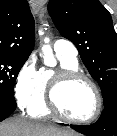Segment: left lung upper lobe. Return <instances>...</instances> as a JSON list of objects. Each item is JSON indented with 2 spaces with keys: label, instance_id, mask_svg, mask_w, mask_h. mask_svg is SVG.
Wrapping results in <instances>:
<instances>
[{
  "label": "left lung upper lobe",
  "instance_id": "obj_1",
  "mask_svg": "<svg viewBox=\"0 0 117 136\" xmlns=\"http://www.w3.org/2000/svg\"><path fill=\"white\" fill-rule=\"evenodd\" d=\"M48 11L60 34L77 47L107 105L117 97V34L110 13L98 0H50Z\"/></svg>",
  "mask_w": 117,
  "mask_h": 136
}]
</instances>
